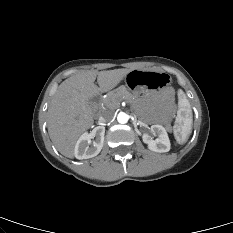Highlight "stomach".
I'll return each instance as SVG.
<instances>
[{
    "label": "stomach",
    "instance_id": "stomach-1",
    "mask_svg": "<svg viewBox=\"0 0 233 233\" xmlns=\"http://www.w3.org/2000/svg\"><path fill=\"white\" fill-rule=\"evenodd\" d=\"M171 82L166 72L154 70H135L124 78L125 87L135 95H148L168 86Z\"/></svg>",
    "mask_w": 233,
    "mask_h": 233
}]
</instances>
